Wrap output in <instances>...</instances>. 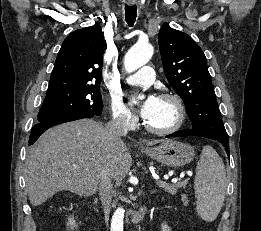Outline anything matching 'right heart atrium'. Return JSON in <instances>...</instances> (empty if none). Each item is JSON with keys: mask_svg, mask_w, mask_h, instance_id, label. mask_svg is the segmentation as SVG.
Here are the masks:
<instances>
[{"mask_svg": "<svg viewBox=\"0 0 261 231\" xmlns=\"http://www.w3.org/2000/svg\"><path fill=\"white\" fill-rule=\"evenodd\" d=\"M111 120L122 129H130L134 126L136 117L119 97H114L111 101Z\"/></svg>", "mask_w": 261, "mask_h": 231, "instance_id": "obj_1", "label": "right heart atrium"}]
</instances>
